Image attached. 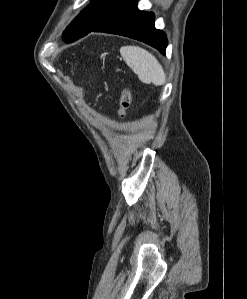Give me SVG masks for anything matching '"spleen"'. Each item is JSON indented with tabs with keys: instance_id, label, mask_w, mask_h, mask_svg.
<instances>
[{
	"instance_id": "1",
	"label": "spleen",
	"mask_w": 247,
	"mask_h": 299,
	"mask_svg": "<svg viewBox=\"0 0 247 299\" xmlns=\"http://www.w3.org/2000/svg\"><path fill=\"white\" fill-rule=\"evenodd\" d=\"M120 54L126 64L146 84L163 85L166 80L164 70L155 56L138 46H123Z\"/></svg>"
}]
</instances>
